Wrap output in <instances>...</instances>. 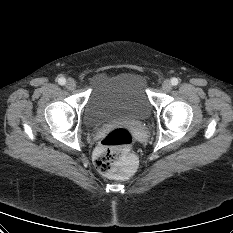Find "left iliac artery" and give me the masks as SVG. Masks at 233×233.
Listing matches in <instances>:
<instances>
[{
  "mask_svg": "<svg viewBox=\"0 0 233 233\" xmlns=\"http://www.w3.org/2000/svg\"><path fill=\"white\" fill-rule=\"evenodd\" d=\"M178 83H179V81H178L177 78L173 77V78L171 79V84H172L173 86L178 85Z\"/></svg>",
  "mask_w": 233,
  "mask_h": 233,
  "instance_id": "left-iliac-artery-1",
  "label": "left iliac artery"
}]
</instances>
